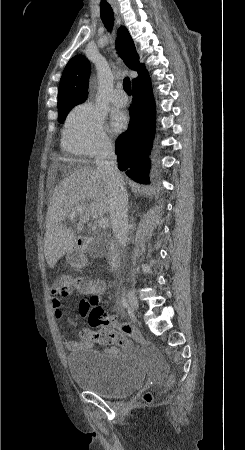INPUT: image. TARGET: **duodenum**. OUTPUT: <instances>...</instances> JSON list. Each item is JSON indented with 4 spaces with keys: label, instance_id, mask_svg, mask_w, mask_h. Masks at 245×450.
I'll use <instances>...</instances> for the list:
<instances>
[{
    "label": "duodenum",
    "instance_id": "1",
    "mask_svg": "<svg viewBox=\"0 0 245 450\" xmlns=\"http://www.w3.org/2000/svg\"><path fill=\"white\" fill-rule=\"evenodd\" d=\"M103 234L107 235L106 239H95L90 237H80L77 240V245L80 248L89 249L93 245L102 244L106 246L109 250V267L113 270H118L120 266V250L116 240L111 236V230L106 229L102 231ZM80 261H85L84 256L79 257Z\"/></svg>",
    "mask_w": 245,
    "mask_h": 450
}]
</instances>
